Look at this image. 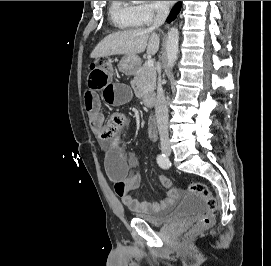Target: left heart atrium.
I'll use <instances>...</instances> for the list:
<instances>
[{
	"label": "left heart atrium",
	"instance_id": "left-heart-atrium-1",
	"mask_svg": "<svg viewBox=\"0 0 271 266\" xmlns=\"http://www.w3.org/2000/svg\"><path fill=\"white\" fill-rule=\"evenodd\" d=\"M162 2L168 4V3H172L173 1H162Z\"/></svg>",
	"mask_w": 271,
	"mask_h": 266
}]
</instances>
